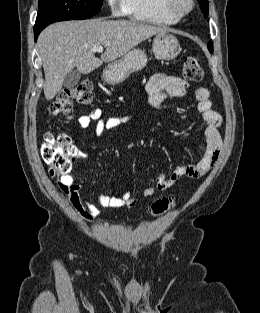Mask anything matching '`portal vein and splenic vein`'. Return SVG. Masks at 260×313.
<instances>
[{
  "mask_svg": "<svg viewBox=\"0 0 260 313\" xmlns=\"http://www.w3.org/2000/svg\"><path fill=\"white\" fill-rule=\"evenodd\" d=\"M93 51H95V52H103V46H98V47L94 48Z\"/></svg>",
  "mask_w": 260,
  "mask_h": 313,
  "instance_id": "obj_1",
  "label": "portal vein and splenic vein"
}]
</instances>
